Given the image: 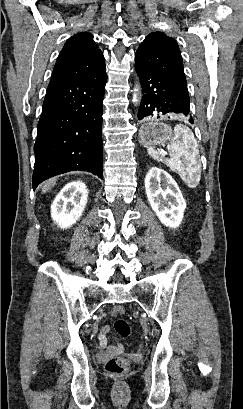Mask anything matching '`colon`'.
I'll use <instances>...</instances> for the list:
<instances>
[{
  "mask_svg": "<svg viewBox=\"0 0 243 409\" xmlns=\"http://www.w3.org/2000/svg\"><path fill=\"white\" fill-rule=\"evenodd\" d=\"M125 313L123 306H115L112 310V314L117 317L114 322V329L121 337H128L130 334V326L128 322L122 317ZM129 368L128 361L119 356L110 358L106 364L105 369L113 376H121L127 372Z\"/></svg>",
  "mask_w": 243,
  "mask_h": 409,
  "instance_id": "obj_1",
  "label": "colon"
}]
</instances>
